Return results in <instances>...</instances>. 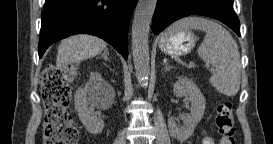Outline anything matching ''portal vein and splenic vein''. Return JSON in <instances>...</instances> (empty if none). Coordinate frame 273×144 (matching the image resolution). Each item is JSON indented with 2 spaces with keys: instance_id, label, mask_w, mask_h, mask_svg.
<instances>
[{
  "instance_id": "obj_1",
  "label": "portal vein and splenic vein",
  "mask_w": 273,
  "mask_h": 144,
  "mask_svg": "<svg viewBox=\"0 0 273 144\" xmlns=\"http://www.w3.org/2000/svg\"><path fill=\"white\" fill-rule=\"evenodd\" d=\"M206 66H209V64H208V63H206Z\"/></svg>"
}]
</instances>
